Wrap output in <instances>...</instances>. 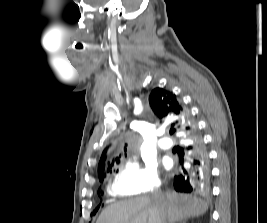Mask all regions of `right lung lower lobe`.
I'll list each match as a JSON object with an SVG mask.
<instances>
[{
  "label": "right lung lower lobe",
  "instance_id": "right-lung-lower-lobe-1",
  "mask_svg": "<svg viewBox=\"0 0 267 223\" xmlns=\"http://www.w3.org/2000/svg\"><path fill=\"white\" fill-rule=\"evenodd\" d=\"M184 139L188 142L186 151L190 167L187 170L183 168L182 172H178L174 176L173 184L176 191L191 193L205 189L209 184L210 162L197 126L191 131H186Z\"/></svg>",
  "mask_w": 267,
  "mask_h": 223
}]
</instances>
